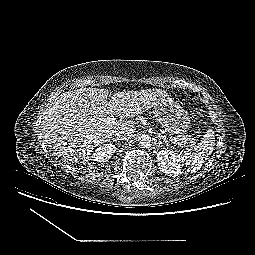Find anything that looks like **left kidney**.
I'll list each match as a JSON object with an SVG mask.
<instances>
[{"instance_id": "left-kidney-1", "label": "left kidney", "mask_w": 255, "mask_h": 255, "mask_svg": "<svg viewBox=\"0 0 255 255\" xmlns=\"http://www.w3.org/2000/svg\"><path fill=\"white\" fill-rule=\"evenodd\" d=\"M158 167L167 176L176 177L182 173L181 158L173 150H161L157 153Z\"/></svg>"}]
</instances>
